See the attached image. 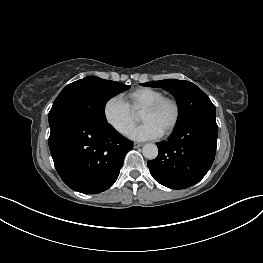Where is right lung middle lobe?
<instances>
[{"label":"right lung middle lobe","mask_w":263,"mask_h":263,"mask_svg":"<svg viewBox=\"0 0 263 263\" xmlns=\"http://www.w3.org/2000/svg\"><path fill=\"white\" fill-rule=\"evenodd\" d=\"M120 82L89 76L67 85L55 99L49 112V125L62 118H82L97 123H107L106 102L129 89Z\"/></svg>","instance_id":"1"}]
</instances>
